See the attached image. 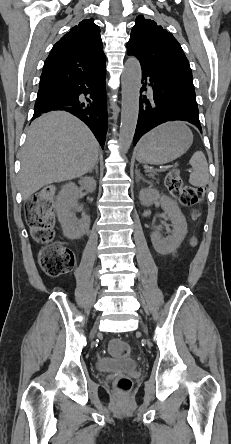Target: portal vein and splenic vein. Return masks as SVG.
Wrapping results in <instances>:
<instances>
[{"mask_svg":"<svg viewBox=\"0 0 231 444\" xmlns=\"http://www.w3.org/2000/svg\"><path fill=\"white\" fill-rule=\"evenodd\" d=\"M152 171H155V170H151V169H148V170H147V172H152Z\"/></svg>","mask_w":231,"mask_h":444,"instance_id":"18ae733b","label":"portal vein and splenic vein"}]
</instances>
